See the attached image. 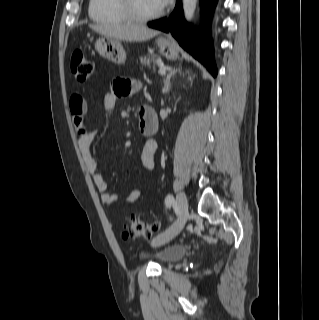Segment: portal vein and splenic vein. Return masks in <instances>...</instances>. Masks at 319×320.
Returning a JSON list of instances; mask_svg holds the SVG:
<instances>
[{
  "label": "portal vein and splenic vein",
  "instance_id": "portal-vein-and-splenic-vein-1",
  "mask_svg": "<svg viewBox=\"0 0 319 320\" xmlns=\"http://www.w3.org/2000/svg\"><path fill=\"white\" fill-rule=\"evenodd\" d=\"M158 73H159L160 75H165V74H166V68L163 67V66H161V67L159 68V70H158Z\"/></svg>",
  "mask_w": 319,
  "mask_h": 320
}]
</instances>
